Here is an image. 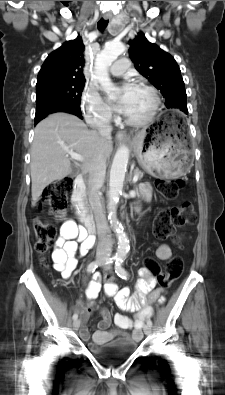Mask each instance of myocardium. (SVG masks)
Instances as JSON below:
<instances>
[{"instance_id": "obj_1", "label": "myocardium", "mask_w": 225, "mask_h": 395, "mask_svg": "<svg viewBox=\"0 0 225 395\" xmlns=\"http://www.w3.org/2000/svg\"><path fill=\"white\" fill-rule=\"evenodd\" d=\"M137 88H142V89L149 92V94L152 97L151 109H150L149 113L144 118L139 119V120H132V119L126 118L125 122L130 126L141 127V126H144V125L150 123L154 119L155 115L158 112L159 106H160V97H159L157 90L153 86H151L147 83H143V82L138 83Z\"/></svg>"}]
</instances>
